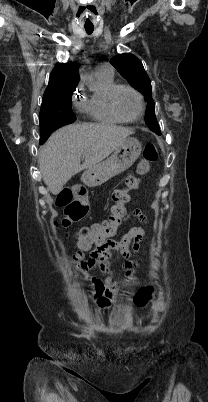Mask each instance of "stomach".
<instances>
[{
    "mask_svg": "<svg viewBox=\"0 0 208 402\" xmlns=\"http://www.w3.org/2000/svg\"><path fill=\"white\" fill-rule=\"evenodd\" d=\"M141 150L142 144H140L139 140L127 138L126 142H123L110 158L84 172L81 178L82 182L89 188L105 184L113 176H118L121 172L131 168L132 164L139 158Z\"/></svg>",
    "mask_w": 208,
    "mask_h": 402,
    "instance_id": "stomach-1",
    "label": "stomach"
}]
</instances>
